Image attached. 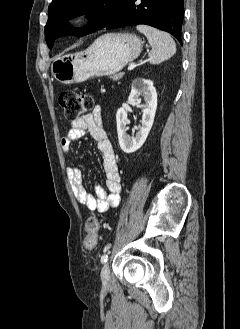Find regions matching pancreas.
Instances as JSON below:
<instances>
[{"mask_svg":"<svg viewBox=\"0 0 240 329\" xmlns=\"http://www.w3.org/2000/svg\"><path fill=\"white\" fill-rule=\"evenodd\" d=\"M123 77V73H116L113 76H111L110 78L114 81H117L119 79H121Z\"/></svg>","mask_w":240,"mask_h":329,"instance_id":"1","label":"pancreas"}]
</instances>
